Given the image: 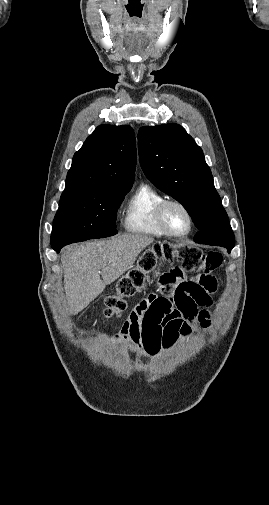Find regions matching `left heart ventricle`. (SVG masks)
Here are the masks:
<instances>
[{
  "label": "left heart ventricle",
  "instance_id": "left-heart-ventricle-1",
  "mask_svg": "<svg viewBox=\"0 0 269 505\" xmlns=\"http://www.w3.org/2000/svg\"><path fill=\"white\" fill-rule=\"evenodd\" d=\"M164 220L168 228L175 233H184L189 227V220L182 208L168 205L164 212Z\"/></svg>",
  "mask_w": 269,
  "mask_h": 505
}]
</instances>
